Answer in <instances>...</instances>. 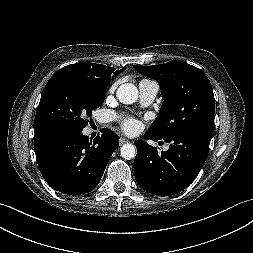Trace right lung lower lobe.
Instances as JSON below:
<instances>
[{"label":"right lung lower lobe","instance_id":"right-lung-lower-lobe-1","mask_svg":"<svg viewBox=\"0 0 253 253\" xmlns=\"http://www.w3.org/2000/svg\"><path fill=\"white\" fill-rule=\"evenodd\" d=\"M89 140L82 131L49 128L35 132L34 149L39 169L47 183L68 195L93 190L99 183L119 136L110 129Z\"/></svg>","mask_w":253,"mask_h":253}]
</instances>
